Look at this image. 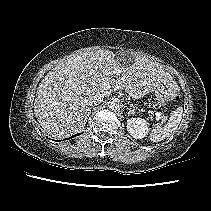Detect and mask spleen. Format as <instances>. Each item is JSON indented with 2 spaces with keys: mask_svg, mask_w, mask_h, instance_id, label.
Returning a JSON list of instances; mask_svg holds the SVG:
<instances>
[{
  "mask_svg": "<svg viewBox=\"0 0 211 211\" xmlns=\"http://www.w3.org/2000/svg\"><path fill=\"white\" fill-rule=\"evenodd\" d=\"M182 115L183 109L179 107L171 113L168 123L164 127H161L159 124H156L150 134L151 141L159 142L172 135L177 130L181 122Z\"/></svg>",
  "mask_w": 211,
  "mask_h": 211,
  "instance_id": "3e777b00",
  "label": "spleen"
}]
</instances>
